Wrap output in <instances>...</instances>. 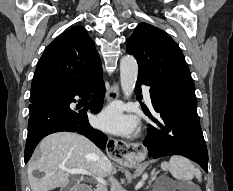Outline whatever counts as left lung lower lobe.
<instances>
[{"label":"left lung lower lobe","mask_w":233,"mask_h":191,"mask_svg":"<svg viewBox=\"0 0 233 191\" xmlns=\"http://www.w3.org/2000/svg\"><path fill=\"white\" fill-rule=\"evenodd\" d=\"M141 84L150 86L152 106L158 118L148 110L152 119L149 134L143 144L150 158L182 155L198 163L208 172V153L197 114V99L190 93L152 83L147 77L138 75L136 93Z\"/></svg>","instance_id":"left-lung-lower-lobe-1"}]
</instances>
